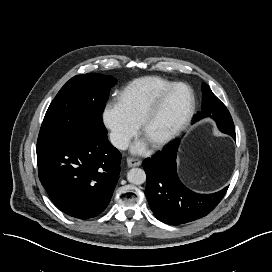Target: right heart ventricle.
<instances>
[{
    "mask_svg": "<svg viewBox=\"0 0 272 272\" xmlns=\"http://www.w3.org/2000/svg\"><path fill=\"white\" fill-rule=\"evenodd\" d=\"M172 84L171 81L155 76L136 79L121 90L118 103L127 117L138 126L149 107Z\"/></svg>",
    "mask_w": 272,
    "mask_h": 272,
    "instance_id": "1",
    "label": "right heart ventricle"
}]
</instances>
